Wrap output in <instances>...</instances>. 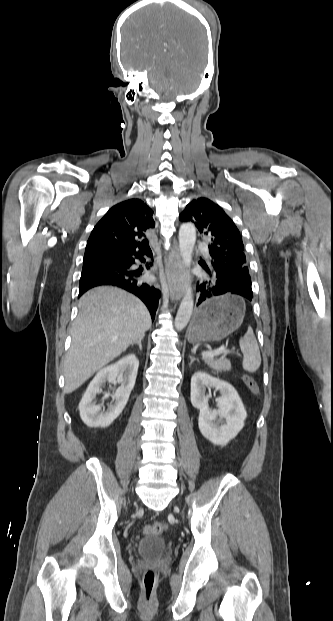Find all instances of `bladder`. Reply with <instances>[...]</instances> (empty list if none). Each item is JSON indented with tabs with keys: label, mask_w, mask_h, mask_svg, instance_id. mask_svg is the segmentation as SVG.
<instances>
[{
	"label": "bladder",
	"mask_w": 333,
	"mask_h": 621,
	"mask_svg": "<svg viewBox=\"0 0 333 621\" xmlns=\"http://www.w3.org/2000/svg\"><path fill=\"white\" fill-rule=\"evenodd\" d=\"M166 547L165 541L159 536H148L143 538L137 548L142 556H156L164 552Z\"/></svg>",
	"instance_id": "1"
}]
</instances>
